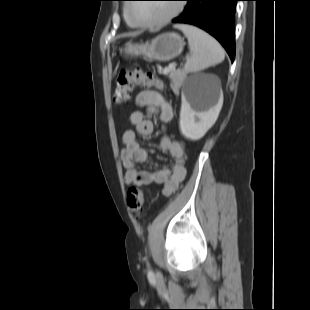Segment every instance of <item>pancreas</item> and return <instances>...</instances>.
Wrapping results in <instances>:
<instances>
[{"mask_svg": "<svg viewBox=\"0 0 310 310\" xmlns=\"http://www.w3.org/2000/svg\"><path fill=\"white\" fill-rule=\"evenodd\" d=\"M169 78L171 80V89L173 92L178 95L179 94V89L185 79V74L181 71H171L169 74Z\"/></svg>", "mask_w": 310, "mask_h": 310, "instance_id": "cf45deb5", "label": "pancreas"}]
</instances>
